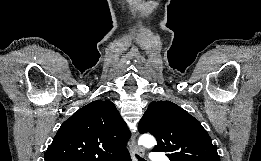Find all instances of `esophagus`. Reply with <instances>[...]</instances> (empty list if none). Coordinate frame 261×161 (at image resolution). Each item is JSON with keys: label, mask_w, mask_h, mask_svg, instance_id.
I'll return each mask as SVG.
<instances>
[{"label": "esophagus", "mask_w": 261, "mask_h": 161, "mask_svg": "<svg viewBox=\"0 0 261 161\" xmlns=\"http://www.w3.org/2000/svg\"><path fill=\"white\" fill-rule=\"evenodd\" d=\"M131 144H132V147H133V152L135 154H137L141 157H143L145 155L144 149L136 144V136L135 135L132 136ZM132 161H136L134 155L132 156Z\"/></svg>", "instance_id": "obj_1"}]
</instances>
